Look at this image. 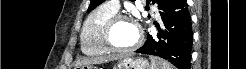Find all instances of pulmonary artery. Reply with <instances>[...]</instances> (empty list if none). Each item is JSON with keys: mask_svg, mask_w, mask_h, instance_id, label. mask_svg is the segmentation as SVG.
Segmentation results:
<instances>
[{"mask_svg": "<svg viewBox=\"0 0 246 69\" xmlns=\"http://www.w3.org/2000/svg\"><path fill=\"white\" fill-rule=\"evenodd\" d=\"M107 4L116 11H118L120 8L118 1H109Z\"/></svg>", "mask_w": 246, "mask_h": 69, "instance_id": "e3ab8cb5", "label": "pulmonary artery"}]
</instances>
